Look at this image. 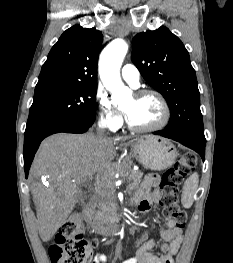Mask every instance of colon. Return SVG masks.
Wrapping results in <instances>:
<instances>
[{
	"label": "colon",
	"instance_id": "colon-1",
	"mask_svg": "<svg viewBox=\"0 0 233 263\" xmlns=\"http://www.w3.org/2000/svg\"><path fill=\"white\" fill-rule=\"evenodd\" d=\"M194 165V154L182 153L175 167L161 177L163 216L173 220L178 227H184L187 221L186 213L178 203L179 185ZM96 245L95 239L85 237L82 213L75 211L62 225L49 248V256L52 263H92Z\"/></svg>",
	"mask_w": 233,
	"mask_h": 263
}]
</instances>
